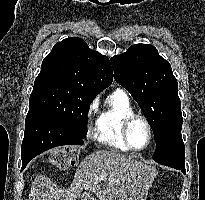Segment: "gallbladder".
Masks as SVG:
<instances>
[{"instance_id": "1", "label": "gallbladder", "mask_w": 205, "mask_h": 200, "mask_svg": "<svg viewBox=\"0 0 205 200\" xmlns=\"http://www.w3.org/2000/svg\"><path fill=\"white\" fill-rule=\"evenodd\" d=\"M79 200H86L85 197H81Z\"/></svg>"}]
</instances>
